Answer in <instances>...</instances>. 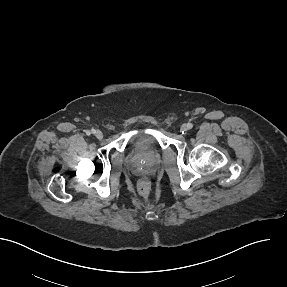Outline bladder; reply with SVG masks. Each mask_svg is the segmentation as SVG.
<instances>
[{
	"mask_svg": "<svg viewBox=\"0 0 287 287\" xmlns=\"http://www.w3.org/2000/svg\"><path fill=\"white\" fill-rule=\"evenodd\" d=\"M144 139H147V136L142 135V136H140V137L138 138V140H137V142H136V144H135V148H136V149H138V148L140 147V145H141V143H142V141H143Z\"/></svg>",
	"mask_w": 287,
	"mask_h": 287,
	"instance_id": "31cf9c89",
	"label": "bladder"
}]
</instances>
